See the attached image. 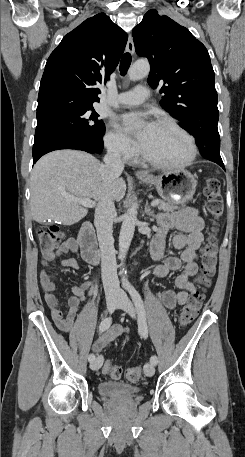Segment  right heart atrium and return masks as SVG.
<instances>
[{
    "label": "right heart atrium",
    "mask_w": 245,
    "mask_h": 457,
    "mask_svg": "<svg viewBox=\"0 0 245 457\" xmlns=\"http://www.w3.org/2000/svg\"><path fill=\"white\" fill-rule=\"evenodd\" d=\"M105 143L112 154L125 161H131L136 154L133 143L116 128L106 134Z\"/></svg>",
    "instance_id": "right-heart-atrium-1"
}]
</instances>
